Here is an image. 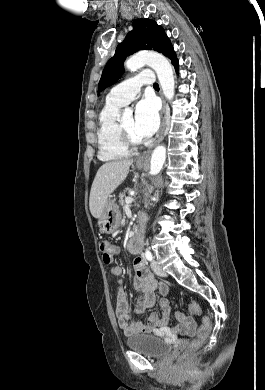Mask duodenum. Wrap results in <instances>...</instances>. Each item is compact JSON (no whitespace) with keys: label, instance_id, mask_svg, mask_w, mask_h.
Segmentation results:
<instances>
[{"label":"duodenum","instance_id":"1","mask_svg":"<svg viewBox=\"0 0 265 390\" xmlns=\"http://www.w3.org/2000/svg\"><path fill=\"white\" fill-rule=\"evenodd\" d=\"M143 222H144L143 217H139L133 235L127 241V248L131 252H139L142 248L143 228H144Z\"/></svg>","mask_w":265,"mask_h":390}]
</instances>
